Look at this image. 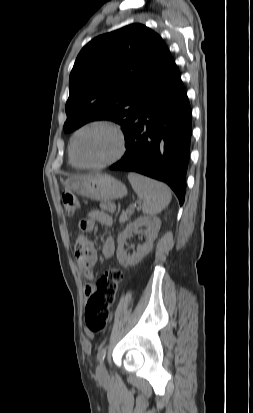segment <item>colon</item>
I'll use <instances>...</instances> for the list:
<instances>
[{
	"label": "colon",
	"mask_w": 253,
	"mask_h": 413,
	"mask_svg": "<svg viewBox=\"0 0 253 413\" xmlns=\"http://www.w3.org/2000/svg\"><path fill=\"white\" fill-rule=\"evenodd\" d=\"M62 202L67 215L74 216L79 212L80 203L72 193L63 192ZM123 276L120 268L113 267L97 281L94 291L89 296L85 312L86 325L90 333H100L107 327L111 307Z\"/></svg>",
	"instance_id": "colon-1"
}]
</instances>
